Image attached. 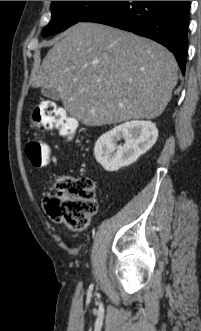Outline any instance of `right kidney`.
<instances>
[{"mask_svg": "<svg viewBox=\"0 0 201 331\" xmlns=\"http://www.w3.org/2000/svg\"><path fill=\"white\" fill-rule=\"evenodd\" d=\"M123 145H117L120 139ZM158 129L151 121H130L116 126L99 137L94 155L106 171H117L134 163L156 142Z\"/></svg>", "mask_w": 201, "mask_h": 331, "instance_id": "1", "label": "right kidney"}]
</instances>
